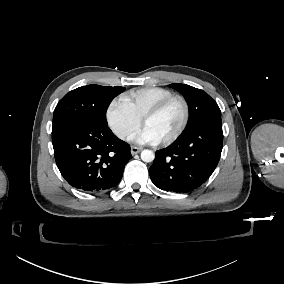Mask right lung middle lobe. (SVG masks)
<instances>
[{"label":"right lung middle lobe","instance_id":"obj_1","mask_svg":"<svg viewBox=\"0 0 284 284\" xmlns=\"http://www.w3.org/2000/svg\"><path fill=\"white\" fill-rule=\"evenodd\" d=\"M124 90L125 88L120 86L87 85L70 91L54 110L52 133L74 121H89L108 126L107 108Z\"/></svg>","mask_w":284,"mask_h":284}]
</instances>
